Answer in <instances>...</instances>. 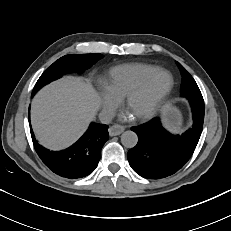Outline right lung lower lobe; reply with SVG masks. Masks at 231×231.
I'll use <instances>...</instances> for the list:
<instances>
[{
	"label": "right lung lower lobe",
	"mask_w": 231,
	"mask_h": 231,
	"mask_svg": "<svg viewBox=\"0 0 231 231\" xmlns=\"http://www.w3.org/2000/svg\"><path fill=\"white\" fill-rule=\"evenodd\" d=\"M108 126L91 123L85 134L71 147L54 152L39 145L31 131L35 150L43 163L57 175L77 179L89 175L98 165L101 149L108 140Z\"/></svg>",
	"instance_id": "obj_1"
}]
</instances>
